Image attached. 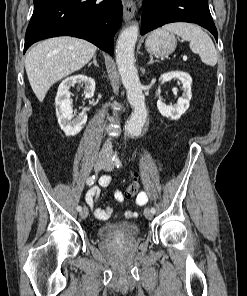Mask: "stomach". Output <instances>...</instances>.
I'll use <instances>...</instances> for the list:
<instances>
[{
  "label": "stomach",
  "mask_w": 247,
  "mask_h": 296,
  "mask_svg": "<svg viewBox=\"0 0 247 296\" xmlns=\"http://www.w3.org/2000/svg\"><path fill=\"white\" fill-rule=\"evenodd\" d=\"M175 36L163 29L153 31L146 39L145 48L148 53L156 56H168L176 49Z\"/></svg>",
  "instance_id": "stomach-1"
}]
</instances>
